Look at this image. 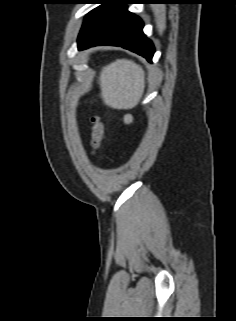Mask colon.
I'll list each match as a JSON object with an SVG mask.
<instances>
[{"mask_svg": "<svg viewBox=\"0 0 236 321\" xmlns=\"http://www.w3.org/2000/svg\"><path fill=\"white\" fill-rule=\"evenodd\" d=\"M91 124V147L93 154H96L102 146L104 139V124L97 115L90 117Z\"/></svg>", "mask_w": 236, "mask_h": 321, "instance_id": "colon-1", "label": "colon"}]
</instances>
